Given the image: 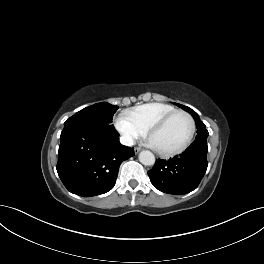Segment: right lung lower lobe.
Masks as SVG:
<instances>
[{
    "mask_svg": "<svg viewBox=\"0 0 264 264\" xmlns=\"http://www.w3.org/2000/svg\"><path fill=\"white\" fill-rule=\"evenodd\" d=\"M60 139L57 172L65 187L79 196L110 191L120 164L134 155L133 148L120 144L115 129L70 125Z\"/></svg>",
    "mask_w": 264,
    "mask_h": 264,
    "instance_id": "98d812e1",
    "label": "right lung lower lobe"
}]
</instances>
